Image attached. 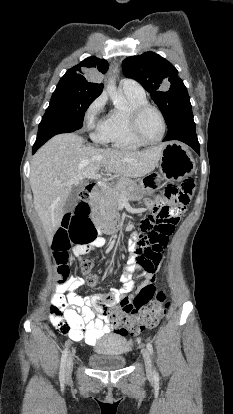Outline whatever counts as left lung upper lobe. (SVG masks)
Returning <instances> with one entry per match:
<instances>
[{"label":"left lung upper lobe","mask_w":233,"mask_h":414,"mask_svg":"<svg viewBox=\"0 0 233 414\" xmlns=\"http://www.w3.org/2000/svg\"><path fill=\"white\" fill-rule=\"evenodd\" d=\"M124 74L138 81L161 110L167 126L176 115L191 106L190 98L176 68L156 53L126 58L122 63Z\"/></svg>","instance_id":"5c2ea615"}]
</instances>
